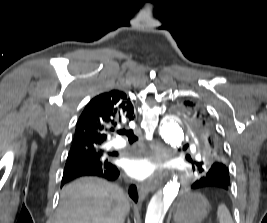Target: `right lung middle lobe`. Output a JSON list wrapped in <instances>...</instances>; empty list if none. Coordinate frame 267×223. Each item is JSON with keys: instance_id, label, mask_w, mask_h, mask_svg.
<instances>
[{"instance_id": "dd1d6c3e", "label": "right lung middle lobe", "mask_w": 267, "mask_h": 223, "mask_svg": "<svg viewBox=\"0 0 267 223\" xmlns=\"http://www.w3.org/2000/svg\"><path fill=\"white\" fill-rule=\"evenodd\" d=\"M112 155V153L94 145H85L75 149H70L64 173L90 165L98 167L107 166L112 164L110 161V157Z\"/></svg>"}]
</instances>
